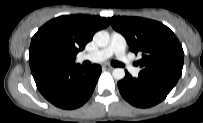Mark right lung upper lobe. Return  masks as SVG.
Instances as JSON below:
<instances>
[{
	"label": "right lung upper lobe",
	"instance_id": "cb5924a9",
	"mask_svg": "<svg viewBox=\"0 0 203 123\" xmlns=\"http://www.w3.org/2000/svg\"><path fill=\"white\" fill-rule=\"evenodd\" d=\"M108 25V20L100 16L82 14L60 16L43 25L32 39L52 37L60 41L72 57L73 64L76 54L84 49L94 33Z\"/></svg>",
	"mask_w": 203,
	"mask_h": 123
}]
</instances>
